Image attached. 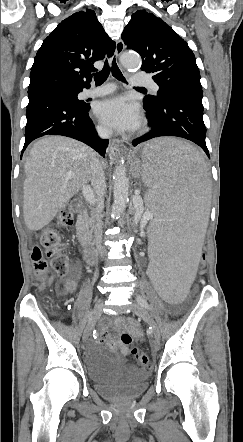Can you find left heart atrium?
<instances>
[{
  "label": "left heart atrium",
  "mask_w": 243,
  "mask_h": 442,
  "mask_svg": "<svg viewBox=\"0 0 243 442\" xmlns=\"http://www.w3.org/2000/svg\"><path fill=\"white\" fill-rule=\"evenodd\" d=\"M96 114L103 124L118 131L133 130L141 120L138 105L122 96L100 102Z\"/></svg>",
  "instance_id": "left-heart-atrium-1"
}]
</instances>
